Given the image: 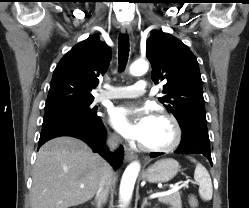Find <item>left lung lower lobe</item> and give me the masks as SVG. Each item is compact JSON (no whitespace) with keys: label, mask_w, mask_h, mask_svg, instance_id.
Wrapping results in <instances>:
<instances>
[{"label":"left lung lower lobe","mask_w":249,"mask_h":208,"mask_svg":"<svg viewBox=\"0 0 249 208\" xmlns=\"http://www.w3.org/2000/svg\"><path fill=\"white\" fill-rule=\"evenodd\" d=\"M181 129V142L175 152L203 154L212 165L207 123L201 120H190L182 126ZM162 154L163 153H151L150 157L155 158Z\"/></svg>","instance_id":"1"}]
</instances>
